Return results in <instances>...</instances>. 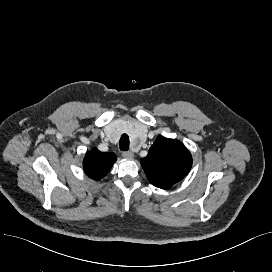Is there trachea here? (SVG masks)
I'll use <instances>...</instances> for the list:
<instances>
[{
    "label": "trachea",
    "instance_id": "1",
    "mask_svg": "<svg viewBox=\"0 0 272 272\" xmlns=\"http://www.w3.org/2000/svg\"><path fill=\"white\" fill-rule=\"evenodd\" d=\"M119 147L122 151H128L129 149V137L127 134H123L119 141Z\"/></svg>",
    "mask_w": 272,
    "mask_h": 272
}]
</instances>
